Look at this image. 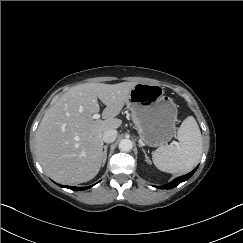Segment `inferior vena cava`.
Here are the masks:
<instances>
[{"instance_id": "1", "label": "inferior vena cava", "mask_w": 243, "mask_h": 243, "mask_svg": "<svg viewBox=\"0 0 243 243\" xmlns=\"http://www.w3.org/2000/svg\"><path fill=\"white\" fill-rule=\"evenodd\" d=\"M116 137L117 131L115 129H109L103 133L102 138L105 143H113L116 140Z\"/></svg>"}]
</instances>
